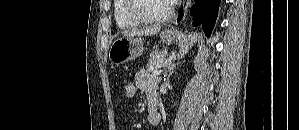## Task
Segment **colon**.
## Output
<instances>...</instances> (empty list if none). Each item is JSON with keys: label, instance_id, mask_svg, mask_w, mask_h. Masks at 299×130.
Returning a JSON list of instances; mask_svg holds the SVG:
<instances>
[{"label": "colon", "instance_id": "colon-1", "mask_svg": "<svg viewBox=\"0 0 299 130\" xmlns=\"http://www.w3.org/2000/svg\"><path fill=\"white\" fill-rule=\"evenodd\" d=\"M137 90H138V86L135 82V79L127 81L124 85V94L125 97L129 100L136 95Z\"/></svg>", "mask_w": 299, "mask_h": 130}]
</instances>
